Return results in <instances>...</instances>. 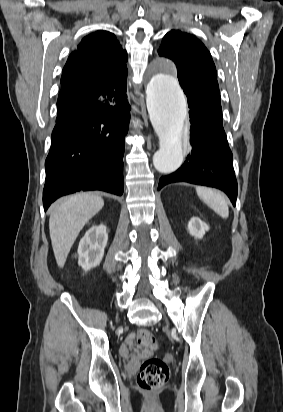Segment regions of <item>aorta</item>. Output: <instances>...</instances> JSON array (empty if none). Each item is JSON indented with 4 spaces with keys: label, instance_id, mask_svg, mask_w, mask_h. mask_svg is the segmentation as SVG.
<instances>
[{
    "label": "aorta",
    "instance_id": "aorta-1",
    "mask_svg": "<svg viewBox=\"0 0 283 412\" xmlns=\"http://www.w3.org/2000/svg\"><path fill=\"white\" fill-rule=\"evenodd\" d=\"M156 67L146 89V104L151 123L159 137V149L153 156L155 169L162 174L177 170L187 146L186 102L172 75L171 67Z\"/></svg>",
    "mask_w": 283,
    "mask_h": 412
}]
</instances>
